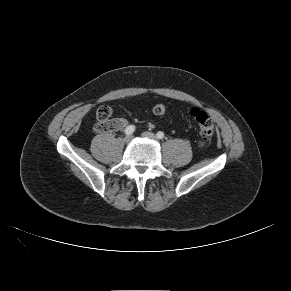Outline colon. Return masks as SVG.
<instances>
[{
    "mask_svg": "<svg viewBox=\"0 0 291 291\" xmlns=\"http://www.w3.org/2000/svg\"><path fill=\"white\" fill-rule=\"evenodd\" d=\"M165 111L166 105L164 103H158L153 107V113L156 116L163 115ZM190 113L199 129L200 145H208L215 132L213 119L206 112L200 110L199 108H192ZM111 115L112 108L110 106H101L96 113L97 123L94 127V130L98 133L112 131V124L110 120Z\"/></svg>",
    "mask_w": 291,
    "mask_h": 291,
    "instance_id": "colon-1",
    "label": "colon"
}]
</instances>
